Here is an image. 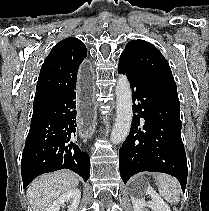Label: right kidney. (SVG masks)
Returning <instances> with one entry per match:
<instances>
[{
    "label": "right kidney",
    "mask_w": 209,
    "mask_h": 211,
    "mask_svg": "<svg viewBox=\"0 0 209 211\" xmlns=\"http://www.w3.org/2000/svg\"><path fill=\"white\" fill-rule=\"evenodd\" d=\"M81 191L77 188L68 190L62 194L58 199L54 200L51 204L48 205L45 211H59L61 207L65 206V203L70 202L67 211H76L80 203Z\"/></svg>",
    "instance_id": "right-kidney-1"
}]
</instances>
